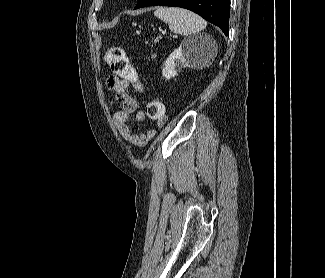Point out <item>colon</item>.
I'll return each instance as SVG.
<instances>
[{"label":"colon","instance_id":"5ec220e1","mask_svg":"<svg viewBox=\"0 0 325 278\" xmlns=\"http://www.w3.org/2000/svg\"><path fill=\"white\" fill-rule=\"evenodd\" d=\"M105 61L115 76L141 87L138 72L130 63L126 52L118 47H110L105 55ZM145 113L152 120L162 121L165 118V107L160 100L153 99L146 106Z\"/></svg>","mask_w":325,"mask_h":278}]
</instances>
